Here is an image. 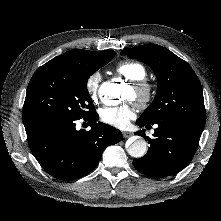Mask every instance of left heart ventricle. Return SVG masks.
Masks as SVG:
<instances>
[{
	"instance_id": "obj_1",
	"label": "left heart ventricle",
	"mask_w": 221,
	"mask_h": 221,
	"mask_svg": "<svg viewBox=\"0 0 221 221\" xmlns=\"http://www.w3.org/2000/svg\"><path fill=\"white\" fill-rule=\"evenodd\" d=\"M127 96H128L129 98H134V90H133L132 87H129Z\"/></svg>"
}]
</instances>
